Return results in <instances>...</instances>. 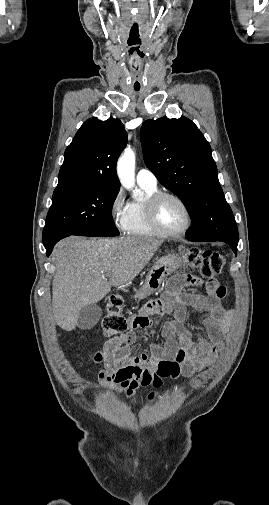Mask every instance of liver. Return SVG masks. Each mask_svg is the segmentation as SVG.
Wrapping results in <instances>:
<instances>
[{
    "label": "liver",
    "mask_w": 269,
    "mask_h": 505,
    "mask_svg": "<svg viewBox=\"0 0 269 505\" xmlns=\"http://www.w3.org/2000/svg\"><path fill=\"white\" fill-rule=\"evenodd\" d=\"M161 243L149 237L87 240L72 236L59 241L52 253L56 267L52 304L57 325L73 330L84 306L102 300L112 286L129 284Z\"/></svg>",
    "instance_id": "liver-1"
}]
</instances>
